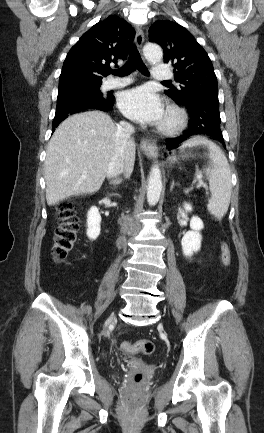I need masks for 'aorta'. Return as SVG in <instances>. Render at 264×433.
<instances>
[{"label": "aorta", "mask_w": 264, "mask_h": 433, "mask_svg": "<svg viewBox=\"0 0 264 433\" xmlns=\"http://www.w3.org/2000/svg\"><path fill=\"white\" fill-rule=\"evenodd\" d=\"M144 56L151 63L160 62L163 57V51L159 45L148 43L143 49ZM162 192V177L158 165L151 168L147 186V201L148 204L154 206L158 203Z\"/></svg>", "instance_id": "1"}]
</instances>
